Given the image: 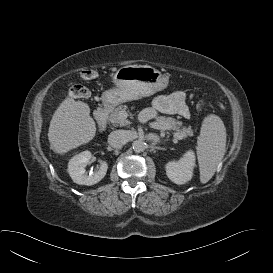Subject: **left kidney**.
Returning <instances> with one entry per match:
<instances>
[{"instance_id": "obj_1", "label": "left kidney", "mask_w": 273, "mask_h": 273, "mask_svg": "<svg viewBox=\"0 0 273 273\" xmlns=\"http://www.w3.org/2000/svg\"><path fill=\"white\" fill-rule=\"evenodd\" d=\"M195 166V155L193 151H187L178 161L168 162L165 166L166 175L176 184H184L191 180Z\"/></svg>"}]
</instances>
